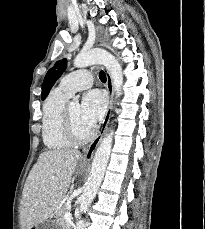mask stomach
Here are the masks:
<instances>
[{"instance_id":"0dacf381","label":"stomach","mask_w":205,"mask_h":229,"mask_svg":"<svg viewBox=\"0 0 205 229\" xmlns=\"http://www.w3.org/2000/svg\"><path fill=\"white\" fill-rule=\"evenodd\" d=\"M32 229H60V226L57 224L55 219L49 217L44 222L33 226Z\"/></svg>"}]
</instances>
